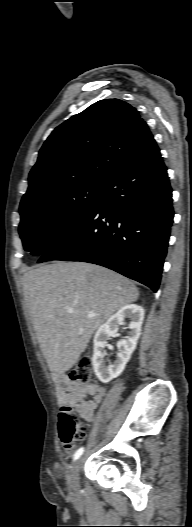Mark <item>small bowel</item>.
<instances>
[{
    "label": "small bowel",
    "mask_w": 192,
    "mask_h": 527,
    "mask_svg": "<svg viewBox=\"0 0 192 527\" xmlns=\"http://www.w3.org/2000/svg\"><path fill=\"white\" fill-rule=\"evenodd\" d=\"M57 383L62 391L60 402L71 404L81 418L91 422L94 411L106 394L105 389L97 384L82 385L73 382L64 373L57 375ZM87 395H90L91 399H86Z\"/></svg>",
    "instance_id": "1"
}]
</instances>
